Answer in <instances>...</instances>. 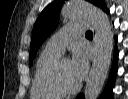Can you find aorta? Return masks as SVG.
I'll use <instances>...</instances> for the list:
<instances>
[{
	"label": "aorta",
	"instance_id": "762f6f07",
	"mask_svg": "<svg viewBox=\"0 0 128 99\" xmlns=\"http://www.w3.org/2000/svg\"><path fill=\"white\" fill-rule=\"evenodd\" d=\"M62 15L69 19L86 18L90 20L95 30V57L85 88L86 99H97L111 63L113 50V32L107 15L98 7L85 0H70Z\"/></svg>",
	"mask_w": 128,
	"mask_h": 99
}]
</instances>
